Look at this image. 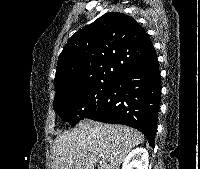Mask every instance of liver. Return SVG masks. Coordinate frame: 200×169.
Listing matches in <instances>:
<instances>
[{
    "instance_id": "1",
    "label": "liver",
    "mask_w": 200,
    "mask_h": 169,
    "mask_svg": "<svg viewBox=\"0 0 200 169\" xmlns=\"http://www.w3.org/2000/svg\"><path fill=\"white\" fill-rule=\"evenodd\" d=\"M144 135L127 126L86 120L56 137L52 169H119Z\"/></svg>"
}]
</instances>
